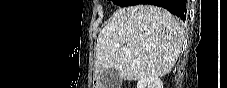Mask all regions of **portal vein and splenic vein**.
<instances>
[{
	"label": "portal vein and splenic vein",
	"instance_id": "1",
	"mask_svg": "<svg viewBox=\"0 0 227 88\" xmlns=\"http://www.w3.org/2000/svg\"><path fill=\"white\" fill-rule=\"evenodd\" d=\"M123 52L127 54V53H129V50L128 49H123Z\"/></svg>",
	"mask_w": 227,
	"mask_h": 88
}]
</instances>
